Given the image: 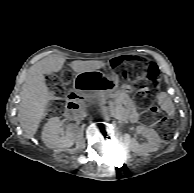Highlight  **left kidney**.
<instances>
[{
	"label": "left kidney",
	"instance_id": "1",
	"mask_svg": "<svg viewBox=\"0 0 194 193\" xmlns=\"http://www.w3.org/2000/svg\"><path fill=\"white\" fill-rule=\"evenodd\" d=\"M136 131L147 138V143L140 144L136 140H131L130 149L132 152L143 156L147 155L149 152H154L159 149L161 139L154 129L147 128L145 126H137Z\"/></svg>",
	"mask_w": 194,
	"mask_h": 193
}]
</instances>
